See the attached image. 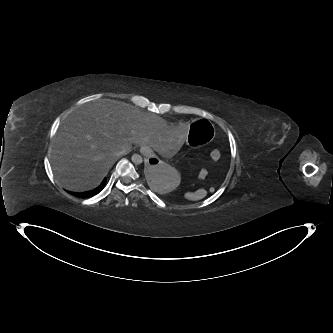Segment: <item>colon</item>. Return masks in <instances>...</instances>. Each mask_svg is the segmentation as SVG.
Listing matches in <instances>:
<instances>
[{"label": "colon", "instance_id": "colon-1", "mask_svg": "<svg viewBox=\"0 0 333 333\" xmlns=\"http://www.w3.org/2000/svg\"><path fill=\"white\" fill-rule=\"evenodd\" d=\"M221 153L218 149H214L211 151L210 153V158L213 162H217L220 159ZM200 177L204 178L207 175V170L206 169H202L200 171Z\"/></svg>", "mask_w": 333, "mask_h": 333}]
</instances>
